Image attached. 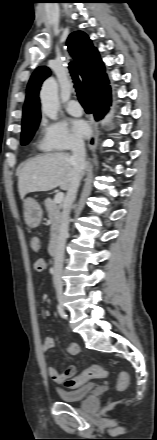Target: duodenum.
<instances>
[{
	"label": "duodenum",
	"instance_id": "duodenum-1",
	"mask_svg": "<svg viewBox=\"0 0 157 440\" xmlns=\"http://www.w3.org/2000/svg\"><path fill=\"white\" fill-rule=\"evenodd\" d=\"M49 254L51 257H55L57 255V241H56V239H52L49 243Z\"/></svg>",
	"mask_w": 157,
	"mask_h": 440
}]
</instances>
